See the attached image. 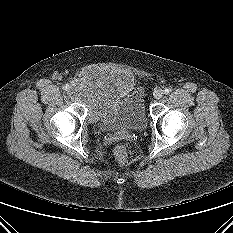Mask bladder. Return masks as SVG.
Here are the masks:
<instances>
[{
  "label": "bladder",
  "instance_id": "bladder-1",
  "mask_svg": "<svg viewBox=\"0 0 233 233\" xmlns=\"http://www.w3.org/2000/svg\"><path fill=\"white\" fill-rule=\"evenodd\" d=\"M71 89L86 103L88 119L106 131H141L147 125L144 93L129 72L88 67Z\"/></svg>",
  "mask_w": 233,
  "mask_h": 233
}]
</instances>
